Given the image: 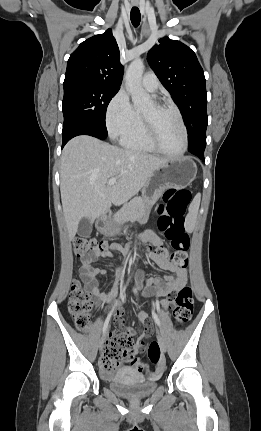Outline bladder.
<instances>
[{"label": "bladder", "instance_id": "obj_1", "mask_svg": "<svg viewBox=\"0 0 261 431\" xmlns=\"http://www.w3.org/2000/svg\"><path fill=\"white\" fill-rule=\"evenodd\" d=\"M112 391L126 398H142L151 395L158 386L156 379L142 378L130 367L120 369L108 378Z\"/></svg>", "mask_w": 261, "mask_h": 431}]
</instances>
